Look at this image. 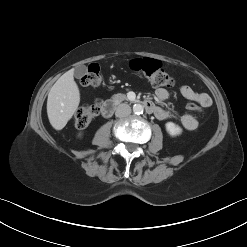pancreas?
Instances as JSON below:
<instances>
[{
  "mask_svg": "<svg viewBox=\"0 0 247 247\" xmlns=\"http://www.w3.org/2000/svg\"><path fill=\"white\" fill-rule=\"evenodd\" d=\"M112 99H113V101H114L115 103H120V102H122L123 100H126L127 97H126V95H124V94L118 93V94L113 95V96H112Z\"/></svg>",
  "mask_w": 247,
  "mask_h": 247,
  "instance_id": "obj_1",
  "label": "pancreas"
}]
</instances>
